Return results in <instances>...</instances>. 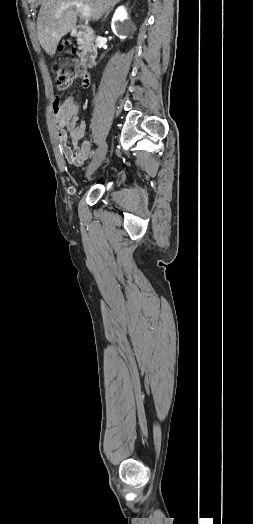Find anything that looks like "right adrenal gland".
<instances>
[{"instance_id":"2a0ac1e0","label":"right adrenal gland","mask_w":253,"mask_h":524,"mask_svg":"<svg viewBox=\"0 0 253 524\" xmlns=\"http://www.w3.org/2000/svg\"><path fill=\"white\" fill-rule=\"evenodd\" d=\"M112 9H113V7H111V8L107 11L106 15H105L104 18H103V21L106 19V17H107V16L109 15V13L112 11Z\"/></svg>"}]
</instances>
